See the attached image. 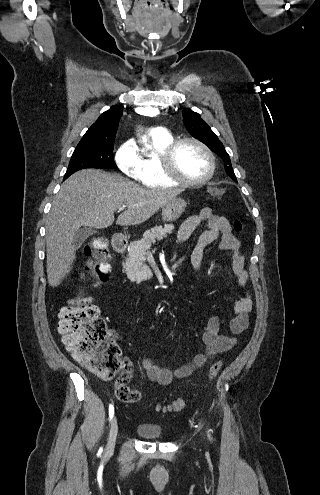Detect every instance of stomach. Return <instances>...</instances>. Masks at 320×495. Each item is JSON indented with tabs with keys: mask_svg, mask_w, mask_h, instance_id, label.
<instances>
[{
	"mask_svg": "<svg viewBox=\"0 0 320 495\" xmlns=\"http://www.w3.org/2000/svg\"><path fill=\"white\" fill-rule=\"evenodd\" d=\"M187 203L181 198H175L162 207V219L166 222L177 220L185 211Z\"/></svg>",
	"mask_w": 320,
	"mask_h": 495,
	"instance_id": "1",
	"label": "stomach"
}]
</instances>
